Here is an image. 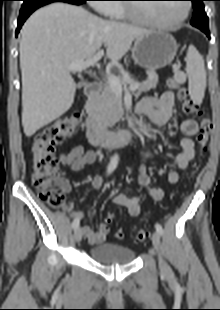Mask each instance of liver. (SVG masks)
Returning <instances> with one entry per match:
<instances>
[{
  "mask_svg": "<svg viewBox=\"0 0 220 310\" xmlns=\"http://www.w3.org/2000/svg\"><path fill=\"white\" fill-rule=\"evenodd\" d=\"M147 29L108 21L82 7L53 3L33 13L22 29V125L27 137L50 124L74 102L70 63L93 57L104 45L117 63Z\"/></svg>",
  "mask_w": 220,
  "mask_h": 310,
  "instance_id": "6515ba94",
  "label": "liver"
}]
</instances>
